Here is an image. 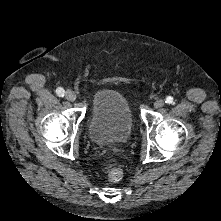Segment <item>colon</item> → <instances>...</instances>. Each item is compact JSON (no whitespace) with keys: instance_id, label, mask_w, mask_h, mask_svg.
Here are the masks:
<instances>
[{"instance_id":"5ec220e1","label":"colon","mask_w":221,"mask_h":221,"mask_svg":"<svg viewBox=\"0 0 221 221\" xmlns=\"http://www.w3.org/2000/svg\"><path fill=\"white\" fill-rule=\"evenodd\" d=\"M106 171L109 180L112 182H119L123 177L122 168L115 163H109L106 167Z\"/></svg>"}]
</instances>
